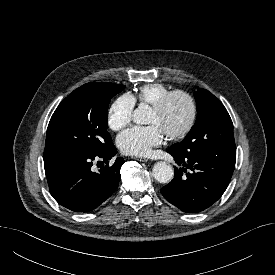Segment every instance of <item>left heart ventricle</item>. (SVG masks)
<instances>
[{
	"mask_svg": "<svg viewBox=\"0 0 275 275\" xmlns=\"http://www.w3.org/2000/svg\"><path fill=\"white\" fill-rule=\"evenodd\" d=\"M189 107L186 100L182 97L173 98L164 111L158 112L151 109L148 123L156 124L165 134L169 131L181 129L187 122Z\"/></svg>",
	"mask_w": 275,
	"mask_h": 275,
	"instance_id": "1",
	"label": "left heart ventricle"
}]
</instances>
